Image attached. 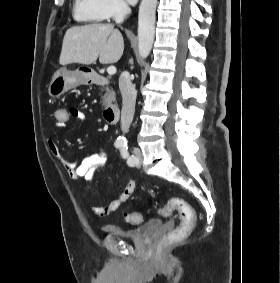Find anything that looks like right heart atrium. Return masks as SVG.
I'll list each match as a JSON object with an SVG mask.
<instances>
[{
  "mask_svg": "<svg viewBox=\"0 0 280 283\" xmlns=\"http://www.w3.org/2000/svg\"><path fill=\"white\" fill-rule=\"evenodd\" d=\"M96 9L107 20L120 19L128 12L124 0H96Z\"/></svg>",
  "mask_w": 280,
  "mask_h": 283,
  "instance_id": "d8ad5b80",
  "label": "right heart atrium"
}]
</instances>
